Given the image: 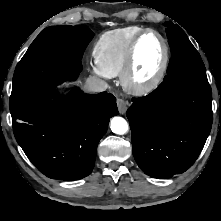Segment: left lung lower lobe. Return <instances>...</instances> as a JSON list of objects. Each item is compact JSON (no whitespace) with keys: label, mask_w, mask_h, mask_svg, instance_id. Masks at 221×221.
Here are the masks:
<instances>
[{"label":"left lung lower lobe","mask_w":221,"mask_h":221,"mask_svg":"<svg viewBox=\"0 0 221 221\" xmlns=\"http://www.w3.org/2000/svg\"><path fill=\"white\" fill-rule=\"evenodd\" d=\"M132 101L127 118L133 155L141 170L151 177L169 178L190 168L212 126L208 80L171 77L149 95Z\"/></svg>","instance_id":"obj_1"}]
</instances>
